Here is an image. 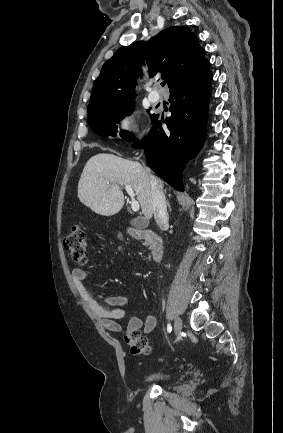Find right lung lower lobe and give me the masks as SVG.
<instances>
[{
    "mask_svg": "<svg viewBox=\"0 0 283 433\" xmlns=\"http://www.w3.org/2000/svg\"><path fill=\"white\" fill-rule=\"evenodd\" d=\"M211 80L210 74L187 88L170 91L172 115L165 120L169 131L162 129L159 115H154L148 136L133 145L144 147L150 168L179 191H184L181 173L185 163L205 140Z\"/></svg>",
    "mask_w": 283,
    "mask_h": 433,
    "instance_id": "obj_1",
    "label": "right lung lower lobe"
}]
</instances>
